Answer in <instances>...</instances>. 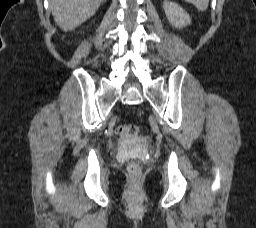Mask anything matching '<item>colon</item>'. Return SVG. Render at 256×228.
Masks as SVG:
<instances>
[{
  "mask_svg": "<svg viewBox=\"0 0 256 228\" xmlns=\"http://www.w3.org/2000/svg\"><path fill=\"white\" fill-rule=\"evenodd\" d=\"M116 132L121 137H133L139 132V126L136 124H121L117 127ZM128 173L132 185H136L141 177V170L138 164L130 163Z\"/></svg>",
  "mask_w": 256,
  "mask_h": 228,
  "instance_id": "colon-1",
  "label": "colon"
}]
</instances>
